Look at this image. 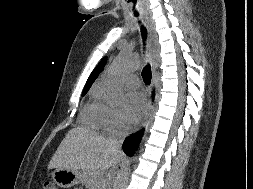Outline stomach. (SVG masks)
<instances>
[{
	"label": "stomach",
	"instance_id": "1",
	"mask_svg": "<svg viewBox=\"0 0 253 189\" xmlns=\"http://www.w3.org/2000/svg\"><path fill=\"white\" fill-rule=\"evenodd\" d=\"M82 172L65 168H56L52 173L54 182L62 188H70L82 179Z\"/></svg>",
	"mask_w": 253,
	"mask_h": 189
}]
</instances>
